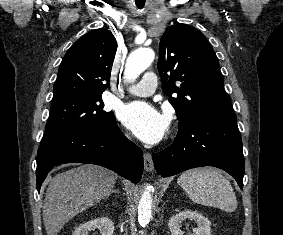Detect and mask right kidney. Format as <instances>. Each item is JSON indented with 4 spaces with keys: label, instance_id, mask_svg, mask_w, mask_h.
Masks as SVG:
<instances>
[{
    "label": "right kidney",
    "instance_id": "obj_1",
    "mask_svg": "<svg viewBox=\"0 0 283 235\" xmlns=\"http://www.w3.org/2000/svg\"><path fill=\"white\" fill-rule=\"evenodd\" d=\"M93 228H98L101 235H113L114 223L107 217H100L77 227L72 235H88Z\"/></svg>",
    "mask_w": 283,
    "mask_h": 235
}]
</instances>
